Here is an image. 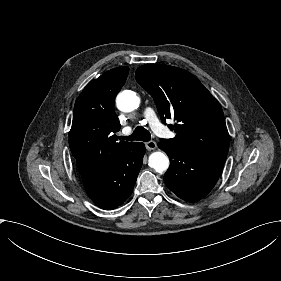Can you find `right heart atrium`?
I'll use <instances>...</instances> for the list:
<instances>
[{
	"instance_id": "1",
	"label": "right heart atrium",
	"mask_w": 281,
	"mask_h": 281,
	"mask_svg": "<svg viewBox=\"0 0 281 281\" xmlns=\"http://www.w3.org/2000/svg\"><path fill=\"white\" fill-rule=\"evenodd\" d=\"M124 91L120 92L117 97H116V103L118 101V98H120L122 101H124V103H127L128 100V95H126L125 93H123Z\"/></svg>"
}]
</instances>
